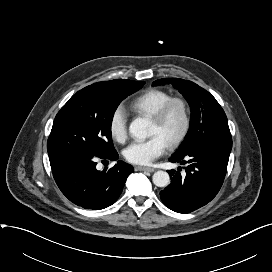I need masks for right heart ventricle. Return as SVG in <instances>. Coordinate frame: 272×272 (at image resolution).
I'll use <instances>...</instances> for the list:
<instances>
[{
  "label": "right heart ventricle",
  "instance_id": "1",
  "mask_svg": "<svg viewBox=\"0 0 272 272\" xmlns=\"http://www.w3.org/2000/svg\"><path fill=\"white\" fill-rule=\"evenodd\" d=\"M170 98L171 95L167 91L151 88L134 97L131 100L129 107L133 112L139 115L150 117Z\"/></svg>",
  "mask_w": 272,
  "mask_h": 272
}]
</instances>
